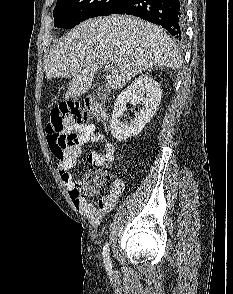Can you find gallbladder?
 Masks as SVG:
<instances>
[{"mask_svg":"<svg viewBox=\"0 0 233 294\" xmlns=\"http://www.w3.org/2000/svg\"><path fill=\"white\" fill-rule=\"evenodd\" d=\"M108 93L109 91L107 88L99 87L97 95L100 99H105L108 96Z\"/></svg>","mask_w":233,"mask_h":294,"instance_id":"gallbladder-1","label":"gallbladder"}]
</instances>
